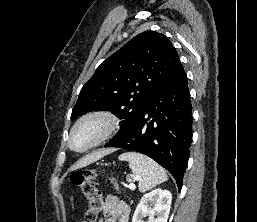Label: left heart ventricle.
I'll use <instances>...</instances> for the list:
<instances>
[{
	"label": "left heart ventricle",
	"mask_w": 257,
	"mask_h": 222,
	"mask_svg": "<svg viewBox=\"0 0 257 222\" xmlns=\"http://www.w3.org/2000/svg\"><path fill=\"white\" fill-rule=\"evenodd\" d=\"M103 131V124L98 120H91L80 125L74 132L72 145L81 150L94 143Z\"/></svg>",
	"instance_id": "b2bd125f"
}]
</instances>
